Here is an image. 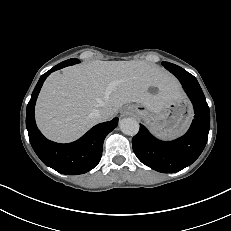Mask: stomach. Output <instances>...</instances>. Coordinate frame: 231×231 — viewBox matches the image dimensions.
<instances>
[{
	"label": "stomach",
	"mask_w": 231,
	"mask_h": 231,
	"mask_svg": "<svg viewBox=\"0 0 231 231\" xmlns=\"http://www.w3.org/2000/svg\"><path fill=\"white\" fill-rule=\"evenodd\" d=\"M127 108L163 139H172L184 133L193 117L191 104L184 96L168 102L158 113L150 112L142 104H132Z\"/></svg>",
	"instance_id": "obj_1"
}]
</instances>
